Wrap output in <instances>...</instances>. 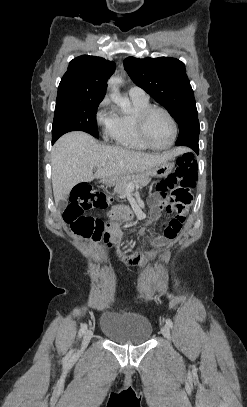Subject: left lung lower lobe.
I'll list each match as a JSON object with an SVG mask.
<instances>
[{"label":"left lung lower lobe","instance_id":"0a47b994","mask_svg":"<svg viewBox=\"0 0 247 407\" xmlns=\"http://www.w3.org/2000/svg\"><path fill=\"white\" fill-rule=\"evenodd\" d=\"M188 147H190L191 149H193L197 154L199 153V146L198 144H191Z\"/></svg>","mask_w":247,"mask_h":407}]
</instances>
